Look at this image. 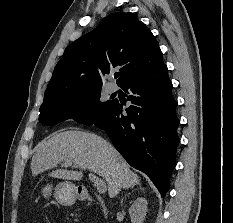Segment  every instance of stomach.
Instances as JSON below:
<instances>
[{
	"mask_svg": "<svg viewBox=\"0 0 233 223\" xmlns=\"http://www.w3.org/2000/svg\"><path fill=\"white\" fill-rule=\"evenodd\" d=\"M41 193L43 197H55L61 205H74L79 197L78 187L72 181H60L57 185L47 183Z\"/></svg>",
	"mask_w": 233,
	"mask_h": 223,
	"instance_id": "0dacf381",
	"label": "stomach"
}]
</instances>
